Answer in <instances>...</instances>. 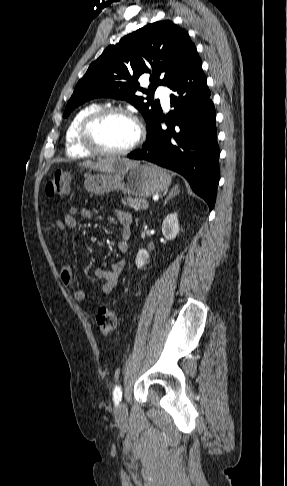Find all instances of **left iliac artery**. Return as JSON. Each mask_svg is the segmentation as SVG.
Listing matches in <instances>:
<instances>
[{"instance_id": "1", "label": "left iliac artery", "mask_w": 287, "mask_h": 486, "mask_svg": "<svg viewBox=\"0 0 287 486\" xmlns=\"http://www.w3.org/2000/svg\"><path fill=\"white\" fill-rule=\"evenodd\" d=\"M122 397V388L120 385L116 386L113 391V400L116 405H118L119 401Z\"/></svg>"}]
</instances>
